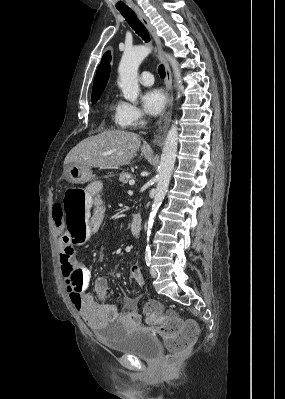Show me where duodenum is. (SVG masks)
Here are the masks:
<instances>
[{
	"label": "duodenum",
	"mask_w": 285,
	"mask_h": 399,
	"mask_svg": "<svg viewBox=\"0 0 285 399\" xmlns=\"http://www.w3.org/2000/svg\"><path fill=\"white\" fill-rule=\"evenodd\" d=\"M130 229H131L133 237L136 240H138L141 236V230H142V218L139 213H136L133 216V219L130 223Z\"/></svg>",
	"instance_id": "obj_1"
}]
</instances>
